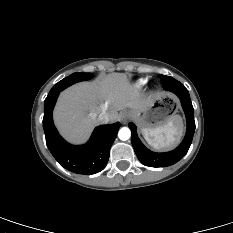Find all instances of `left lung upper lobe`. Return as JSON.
Here are the masks:
<instances>
[{"label": "left lung upper lobe", "mask_w": 233, "mask_h": 233, "mask_svg": "<svg viewBox=\"0 0 233 233\" xmlns=\"http://www.w3.org/2000/svg\"><path fill=\"white\" fill-rule=\"evenodd\" d=\"M160 79L162 81L163 87H166V86L172 84L176 80V79H174L170 76H166V75H160Z\"/></svg>", "instance_id": "5c2ea615"}]
</instances>
